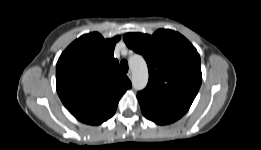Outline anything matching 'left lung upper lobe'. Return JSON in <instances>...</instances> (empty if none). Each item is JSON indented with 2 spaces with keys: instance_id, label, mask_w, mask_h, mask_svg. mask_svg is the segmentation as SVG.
Here are the masks:
<instances>
[{
  "instance_id": "left-lung-upper-lobe-1",
  "label": "left lung upper lobe",
  "mask_w": 261,
  "mask_h": 150,
  "mask_svg": "<svg viewBox=\"0 0 261 150\" xmlns=\"http://www.w3.org/2000/svg\"><path fill=\"white\" fill-rule=\"evenodd\" d=\"M126 45L145 58L147 87L137 97L185 114L202 82L200 55L181 34L159 29L153 35L127 33Z\"/></svg>"
}]
</instances>
